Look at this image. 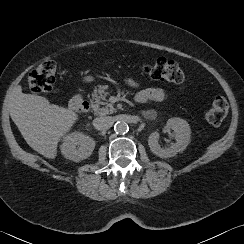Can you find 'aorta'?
I'll return each instance as SVG.
<instances>
[{
	"instance_id": "obj_1",
	"label": "aorta",
	"mask_w": 244,
	"mask_h": 244,
	"mask_svg": "<svg viewBox=\"0 0 244 244\" xmlns=\"http://www.w3.org/2000/svg\"><path fill=\"white\" fill-rule=\"evenodd\" d=\"M114 130L119 134H124V133L128 132L129 127L126 122L119 121V122L115 123Z\"/></svg>"
}]
</instances>
